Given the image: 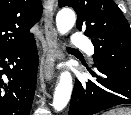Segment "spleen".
<instances>
[{"label": "spleen", "mask_w": 131, "mask_h": 115, "mask_svg": "<svg viewBox=\"0 0 131 115\" xmlns=\"http://www.w3.org/2000/svg\"><path fill=\"white\" fill-rule=\"evenodd\" d=\"M103 115H131V110L128 109H113L110 110L106 113H104Z\"/></svg>", "instance_id": "obj_1"}]
</instances>
